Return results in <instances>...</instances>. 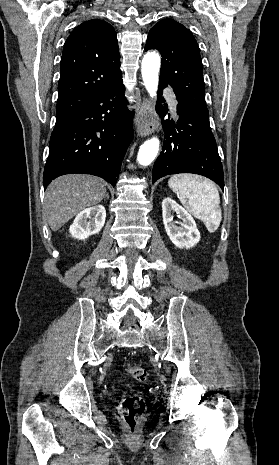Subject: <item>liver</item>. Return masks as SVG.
<instances>
[{
    "label": "liver",
    "instance_id": "1",
    "mask_svg": "<svg viewBox=\"0 0 279 465\" xmlns=\"http://www.w3.org/2000/svg\"><path fill=\"white\" fill-rule=\"evenodd\" d=\"M106 195V184L99 177L69 174L53 180L47 188L44 212L53 231L59 230L83 209L96 205Z\"/></svg>",
    "mask_w": 279,
    "mask_h": 465
}]
</instances>
